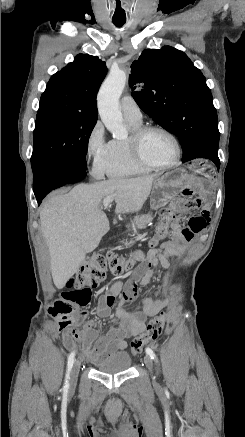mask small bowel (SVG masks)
I'll return each instance as SVG.
<instances>
[{
    "mask_svg": "<svg viewBox=\"0 0 245 437\" xmlns=\"http://www.w3.org/2000/svg\"><path fill=\"white\" fill-rule=\"evenodd\" d=\"M188 173L192 180H218L219 174L214 166L207 162H199L193 159L190 162ZM200 192H211V183H200ZM205 203L203 197H188L184 205L188 208L198 209ZM208 224L206 211L202 214L191 217L187 227L181 228L180 218L176 219L171 226V237L168 241L161 244L158 249H151L147 258L134 272L127 281L123 291V303L112 315V307L115 296L122 290V282L115 281L110 286V292L98 299L96 313L100 318H111V326L108 332L98 337L95 324L87 322L84 327V334L81 338H72L63 334L65 346L71 347L79 343L84 355L91 361H96L107 357L117 351L123 350L127 346L126 339L142 332L145 328V320L156 315L163 307V300L159 297L158 291L154 296L143 299L140 305L129 307L137 296V285H145L149 282L152 275V267L160 265L163 268L169 267L171 257L179 254L185 244L192 240L194 234L199 233Z\"/></svg>",
    "mask_w": 245,
    "mask_h": 437,
    "instance_id": "obj_1",
    "label": "small bowel"
}]
</instances>
